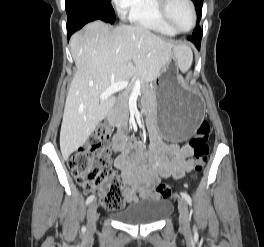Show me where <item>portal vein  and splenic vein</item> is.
<instances>
[{
	"instance_id": "obj_1",
	"label": "portal vein and splenic vein",
	"mask_w": 264,
	"mask_h": 247,
	"mask_svg": "<svg viewBox=\"0 0 264 247\" xmlns=\"http://www.w3.org/2000/svg\"><path fill=\"white\" fill-rule=\"evenodd\" d=\"M128 84H129L128 81H119L116 83H112L109 88H107L104 92L100 94V99L101 100L108 99L112 94L126 89ZM140 87H141L140 80H136L134 83V88L140 90Z\"/></svg>"
}]
</instances>
